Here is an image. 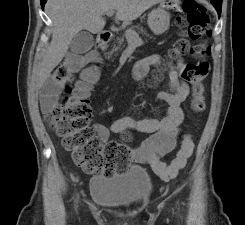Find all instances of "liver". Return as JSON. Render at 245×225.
Returning <instances> with one entry per match:
<instances>
[{"label":"liver","instance_id":"6515ba94","mask_svg":"<svg viewBox=\"0 0 245 225\" xmlns=\"http://www.w3.org/2000/svg\"><path fill=\"white\" fill-rule=\"evenodd\" d=\"M165 0H48L45 10L52 20V39L38 70L42 85L66 55L73 37L85 29L100 33L105 21L102 16L116 10V19L133 21L146 10Z\"/></svg>","mask_w":245,"mask_h":225}]
</instances>
